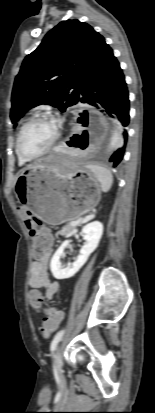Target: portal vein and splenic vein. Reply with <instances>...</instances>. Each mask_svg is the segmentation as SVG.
<instances>
[{
	"label": "portal vein and splenic vein",
	"mask_w": 155,
	"mask_h": 413,
	"mask_svg": "<svg viewBox=\"0 0 155 413\" xmlns=\"http://www.w3.org/2000/svg\"><path fill=\"white\" fill-rule=\"evenodd\" d=\"M87 220H88V218H85V219L82 220V222H85V221H87ZM71 224H72V225H75L76 222H72Z\"/></svg>",
	"instance_id": "portal-vein-and-splenic-vein-1"
}]
</instances>
